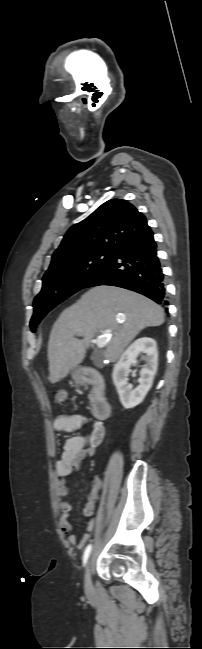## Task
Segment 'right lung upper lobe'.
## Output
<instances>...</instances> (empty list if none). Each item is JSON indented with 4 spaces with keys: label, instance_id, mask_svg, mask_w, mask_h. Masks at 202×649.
Instances as JSON below:
<instances>
[{
    "label": "right lung upper lobe",
    "instance_id": "right-lung-upper-lobe-1",
    "mask_svg": "<svg viewBox=\"0 0 202 649\" xmlns=\"http://www.w3.org/2000/svg\"><path fill=\"white\" fill-rule=\"evenodd\" d=\"M150 227L143 214L123 199H111L85 220L73 225L52 255L49 271L64 261L91 251L116 252ZM45 273V274H46Z\"/></svg>",
    "mask_w": 202,
    "mask_h": 649
}]
</instances>
